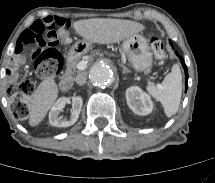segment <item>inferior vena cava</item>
Masks as SVG:
<instances>
[{"instance_id":"inferior-vena-cava-1","label":"inferior vena cava","mask_w":215,"mask_h":183,"mask_svg":"<svg viewBox=\"0 0 215 183\" xmlns=\"http://www.w3.org/2000/svg\"><path fill=\"white\" fill-rule=\"evenodd\" d=\"M75 80L78 85H84L87 81V74L85 72L79 73Z\"/></svg>"}]
</instances>
